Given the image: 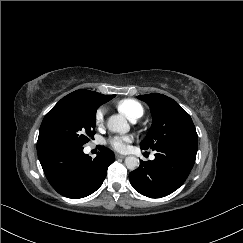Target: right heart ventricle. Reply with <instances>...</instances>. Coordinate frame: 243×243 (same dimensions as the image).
<instances>
[{
	"label": "right heart ventricle",
	"instance_id": "obj_1",
	"mask_svg": "<svg viewBox=\"0 0 243 243\" xmlns=\"http://www.w3.org/2000/svg\"><path fill=\"white\" fill-rule=\"evenodd\" d=\"M117 110L130 121H137L144 113L142 105L134 99H123L117 102Z\"/></svg>",
	"mask_w": 243,
	"mask_h": 243
}]
</instances>
